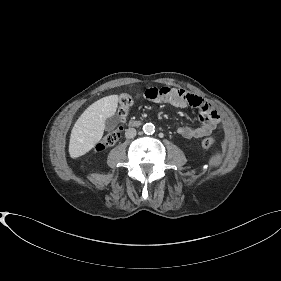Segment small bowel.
<instances>
[{"label":"small bowel","mask_w":281,"mask_h":281,"mask_svg":"<svg viewBox=\"0 0 281 281\" xmlns=\"http://www.w3.org/2000/svg\"><path fill=\"white\" fill-rule=\"evenodd\" d=\"M144 97L154 103L169 104L178 108L193 107L199 111V126L179 127L177 133L186 139L202 138L220 129L222 120L219 112L199 95L178 88H149Z\"/></svg>","instance_id":"1"}]
</instances>
